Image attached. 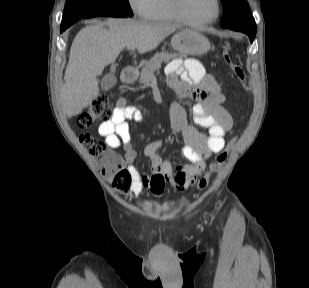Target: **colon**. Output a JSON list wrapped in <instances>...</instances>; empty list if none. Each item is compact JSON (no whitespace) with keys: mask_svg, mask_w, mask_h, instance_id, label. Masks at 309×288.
Listing matches in <instances>:
<instances>
[{"mask_svg":"<svg viewBox=\"0 0 309 288\" xmlns=\"http://www.w3.org/2000/svg\"><path fill=\"white\" fill-rule=\"evenodd\" d=\"M223 56L229 65L234 76L239 81L242 88L250 93L252 91L251 78L246 73L243 65L234 59L231 46L223 45ZM113 114V108L109 98L101 94L79 115L77 125L79 128H88L101 120L109 119ZM80 141L89 153L97 160L100 172L107 178L108 182L116 191H127L131 187L132 176L125 168V162L122 156L112 150L100 139L84 133L80 136ZM235 139L221 150L215 157L214 161L208 166V171L200 178L198 189L204 190L209 182L212 172L219 170L232 151Z\"/></svg>","mask_w":309,"mask_h":288,"instance_id":"5ec220e1","label":"colon"}]
</instances>
